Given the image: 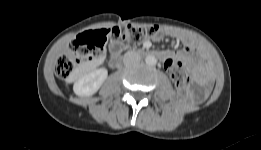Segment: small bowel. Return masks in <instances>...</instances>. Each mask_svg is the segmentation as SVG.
I'll list each match as a JSON object with an SVG mask.
<instances>
[{
	"label": "small bowel",
	"mask_w": 261,
	"mask_h": 150,
	"mask_svg": "<svg viewBox=\"0 0 261 150\" xmlns=\"http://www.w3.org/2000/svg\"><path fill=\"white\" fill-rule=\"evenodd\" d=\"M166 34L180 41L183 47L157 52L158 58L164 62L165 69L167 70L168 61L176 59L183 60L191 66L198 68L199 66L195 58V52L198 50L197 41L192 36L176 30H168ZM160 38V35H156L154 40H160ZM146 46H149V43H147Z\"/></svg>",
	"instance_id": "c3829d8e"
}]
</instances>
